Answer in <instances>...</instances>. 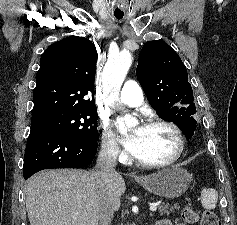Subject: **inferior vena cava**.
Masks as SVG:
<instances>
[{"label":"inferior vena cava","instance_id":"inferior-vena-cava-1","mask_svg":"<svg viewBox=\"0 0 237 225\" xmlns=\"http://www.w3.org/2000/svg\"><path fill=\"white\" fill-rule=\"evenodd\" d=\"M118 147L111 142L103 143L97 158L94 177L98 183L97 192L99 200V225H111L114 208L108 198L107 189L116 179Z\"/></svg>","mask_w":237,"mask_h":225}]
</instances>
